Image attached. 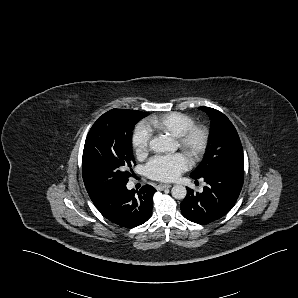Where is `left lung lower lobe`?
<instances>
[{
	"instance_id": "1",
	"label": "left lung lower lobe",
	"mask_w": 298,
	"mask_h": 298,
	"mask_svg": "<svg viewBox=\"0 0 298 298\" xmlns=\"http://www.w3.org/2000/svg\"><path fill=\"white\" fill-rule=\"evenodd\" d=\"M203 178L208 186L202 193L187 189L181 203L183 216L191 222L206 225L226 215L236 203L244 181V161L234 162L219 169L191 177L198 185Z\"/></svg>"
}]
</instances>
